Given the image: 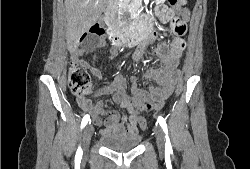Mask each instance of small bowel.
Listing matches in <instances>:
<instances>
[{"label":"small bowel","instance_id":"1","mask_svg":"<svg viewBox=\"0 0 250 169\" xmlns=\"http://www.w3.org/2000/svg\"><path fill=\"white\" fill-rule=\"evenodd\" d=\"M167 17L170 18L169 13ZM188 19L189 11L180 6L176 9L175 17L172 21L173 24L176 20L185 23ZM145 45L136 53L135 59L137 61L142 57V49H144ZM183 49L184 41L178 37H174L171 39L169 45L160 44L153 50L152 55L158 59L159 65L146 71L144 77L147 80L154 81L155 85H150L148 88L143 89L139 86L137 77L132 76V95H128L125 79L121 74H118L96 92L97 96H111L112 101L120 107L121 111L107 110L103 100L93 103L86 97H77L79 106L83 111L90 113L93 122L96 124H100L101 116L105 115L106 119L103 127L106 133L134 134L139 120H136V115H131V104L144 103V98H148V95H156V91H168V95L172 94L180 76L179 65ZM93 51L84 48H75L73 56L82 68L90 69L91 74L100 80L102 78L101 71L96 67H90L88 62L79 59V57L85 54H92Z\"/></svg>","mask_w":250,"mask_h":169}]
</instances>
